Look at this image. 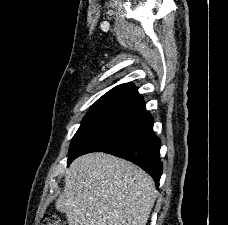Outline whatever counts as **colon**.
<instances>
[{"mask_svg": "<svg viewBox=\"0 0 228 225\" xmlns=\"http://www.w3.org/2000/svg\"><path fill=\"white\" fill-rule=\"evenodd\" d=\"M43 225H65V222L55 214H48L44 218Z\"/></svg>", "mask_w": 228, "mask_h": 225, "instance_id": "1", "label": "colon"}]
</instances>
